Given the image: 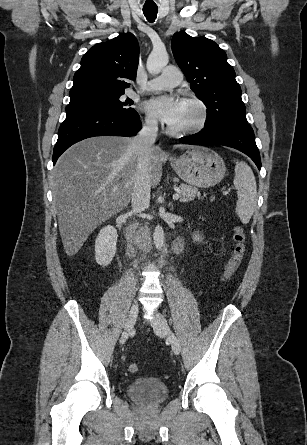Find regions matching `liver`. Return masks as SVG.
Here are the masks:
<instances>
[{
	"mask_svg": "<svg viewBox=\"0 0 307 445\" xmlns=\"http://www.w3.org/2000/svg\"><path fill=\"white\" fill-rule=\"evenodd\" d=\"M131 140L129 136H92L60 156L51 184L68 257L80 251L94 229L129 204L137 166V156L128 148ZM175 146L190 148V144ZM149 158L150 184L157 186L163 164L159 146H151Z\"/></svg>",
	"mask_w": 307,
	"mask_h": 445,
	"instance_id": "obj_1",
	"label": "liver"
}]
</instances>
